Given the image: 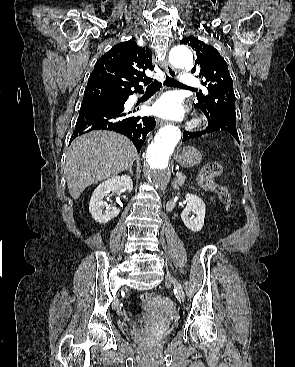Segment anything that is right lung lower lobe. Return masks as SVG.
Wrapping results in <instances>:
<instances>
[{
  "label": "right lung lower lobe",
  "instance_id": "1",
  "mask_svg": "<svg viewBox=\"0 0 295 367\" xmlns=\"http://www.w3.org/2000/svg\"><path fill=\"white\" fill-rule=\"evenodd\" d=\"M127 99L128 96L122 100L83 101L70 143L77 136L93 130H111L127 136L140 152L147 133L156 123L154 117L130 116L132 111L124 110Z\"/></svg>",
  "mask_w": 295,
  "mask_h": 367
}]
</instances>
